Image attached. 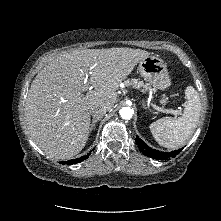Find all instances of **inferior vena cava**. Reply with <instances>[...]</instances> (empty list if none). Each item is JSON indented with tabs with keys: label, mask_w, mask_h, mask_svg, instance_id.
<instances>
[{
	"label": "inferior vena cava",
	"mask_w": 221,
	"mask_h": 221,
	"mask_svg": "<svg viewBox=\"0 0 221 221\" xmlns=\"http://www.w3.org/2000/svg\"><path fill=\"white\" fill-rule=\"evenodd\" d=\"M107 111L108 107L103 104H94L89 108V112L94 118H102Z\"/></svg>",
	"instance_id": "602c4592"
}]
</instances>
